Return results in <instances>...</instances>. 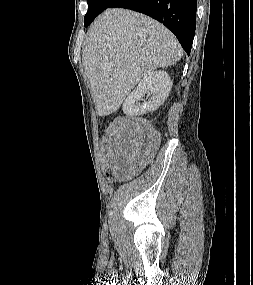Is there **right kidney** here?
Masks as SVG:
<instances>
[{"label":"right kidney","mask_w":253,"mask_h":285,"mask_svg":"<svg viewBox=\"0 0 253 285\" xmlns=\"http://www.w3.org/2000/svg\"><path fill=\"white\" fill-rule=\"evenodd\" d=\"M172 81L166 71L149 72L123 103V111L130 116L143 115L160 107L167 99ZM147 94L148 99L138 101Z\"/></svg>","instance_id":"1"}]
</instances>
